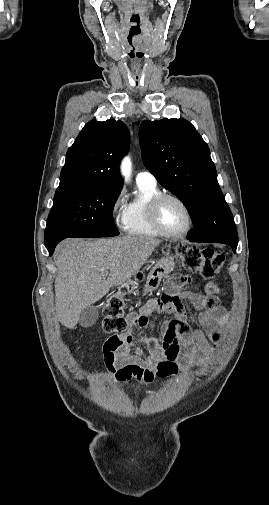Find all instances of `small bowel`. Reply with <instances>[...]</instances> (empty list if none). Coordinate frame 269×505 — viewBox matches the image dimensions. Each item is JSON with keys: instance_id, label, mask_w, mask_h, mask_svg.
Masks as SVG:
<instances>
[{"instance_id": "1", "label": "small bowel", "mask_w": 269, "mask_h": 505, "mask_svg": "<svg viewBox=\"0 0 269 505\" xmlns=\"http://www.w3.org/2000/svg\"><path fill=\"white\" fill-rule=\"evenodd\" d=\"M195 279L201 274L192 273ZM190 279L184 276L175 277L170 283L172 292L177 291ZM205 295H158L153 302L144 304L138 312L128 315L132 328L143 329L149 325V315H174V318L161 326L163 343L149 342L148 353L134 347L136 337L132 331L115 338H109L102 349V360L116 381L128 383L134 379L147 383L154 376L176 375L179 362L186 359L189 366L208 361L214 348L221 340L222 328L227 314L220 305L221 288L215 281H203ZM193 305L200 311L199 328L192 329L188 323L186 306ZM142 339V338H139Z\"/></svg>"}]
</instances>
